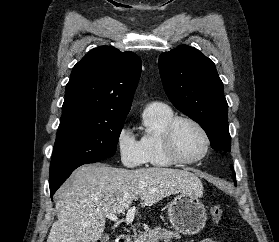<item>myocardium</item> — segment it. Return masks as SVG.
Wrapping results in <instances>:
<instances>
[{"label":"myocardium","mask_w":279,"mask_h":242,"mask_svg":"<svg viewBox=\"0 0 279 242\" xmlns=\"http://www.w3.org/2000/svg\"><path fill=\"white\" fill-rule=\"evenodd\" d=\"M180 122H188L192 125H194L202 134L204 141H205V148L203 153L193 159H186L180 155V153L177 150L176 144H175V129L178 123ZM163 143L164 148L167 153V155L170 157L172 161H174L177 164L182 165H192L196 164L200 161H202L209 153L210 147H211V140L209 137L208 132L204 128V126L198 122L196 119L189 117V116H174L166 125L164 132H163Z\"/></svg>","instance_id":"1"}]
</instances>
